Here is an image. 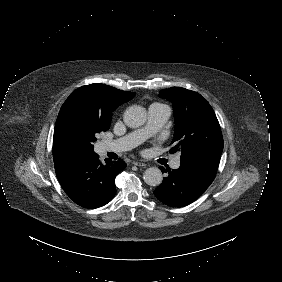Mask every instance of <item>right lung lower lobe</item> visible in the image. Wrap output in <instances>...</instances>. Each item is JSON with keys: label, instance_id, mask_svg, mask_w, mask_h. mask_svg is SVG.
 I'll use <instances>...</instances> for the list:
<instances>
[{"label": "right lung lower lobe", "instance_id": "right-lung-lower-lobe-1", "mask_svg": "<svg viewBox=\"0 0 282 282\" xmlns=\"http://www.w3.org/2000/svg\"><path fill=\"white\" fill-rule=\"evenodd\" d=\"M125 167L126 163L121 159L102 164L95 153L55 165V172L62 188L76 204L93 209L113 199L115 177Z\"/></svg>", "mask_w": 282, "mask_h": 282}]
</instances>
